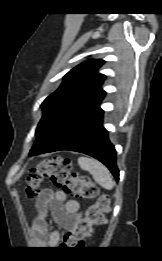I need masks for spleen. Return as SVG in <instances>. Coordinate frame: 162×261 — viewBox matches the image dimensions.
<instances>
[{
  "label": "spleen",
  "mask_w": 162,
  "mask_h": 261,
  "mask_svg": "<svg viewBox=\"0 0 162 261\" xmlns=\"http://www.w3.org/2000/svg\"><path fill=\"white\" fill-rule=\"evenodd\" d=\"M78 164L81 169L88 171L103 188L111 190L114 187V181L109 170L99 161L88 157H79Z\"/></svg>",
  "instance_id": "spleen-1"
}]
</instances>
